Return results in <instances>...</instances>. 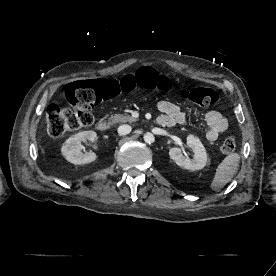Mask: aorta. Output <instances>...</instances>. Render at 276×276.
I'll use <instances>...</instances> for the list:
<instances>
[{
  "label": "aorta",
  "mask_w": 276,
  "mask_h": 276,
  "mask_svg": "<svg viewBox=\"0 0 276 276\" xmlns=\"http://www.w3.org/2000/svg\"><path fill=\"white\" fill-rule=\"evenodd\" d=\"M144 141L148 144L153 143L155 141V137L152 133H146L144 134Z\"/></svg>",
  "instance_id": "obj_1"
}]
</instances>
